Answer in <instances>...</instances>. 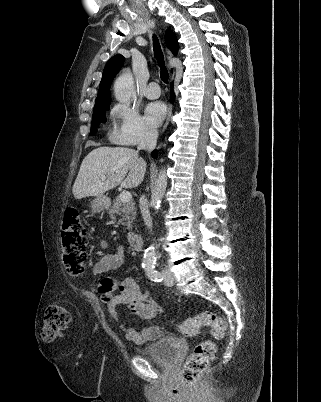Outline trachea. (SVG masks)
Instances as JSON below:
<instances>
[{
	"mask_svg": "<svg viewBox=\"0 0 321 402\" xmlns=\"http://www.w3.org/2000/svg\"><path fill=\"white\" fill-rule=\"evenodd\" d=\"M152 38H153L154 55L157 59L158 65L160 67V77L164 83H167L169 75H168V70L165 66L164 55H163V52L161 49V45H160L159 40L156 35H153Z\"/></svg>",
	"mask_w": 321,
	"mask_h": 402,
	"instance_id": "1",
	"label": "trachea"
}]
</instances>
